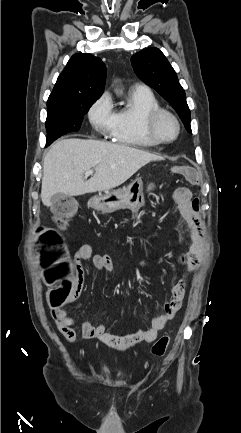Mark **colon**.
I'll list each match as a JSON object with an SVG mask.
<instances>
[{"label": "colon", "mask_w": 241, "mask_h": 433, "mask_svg": "<svg viewBox=\"0 0 241 433\" xmlns=\"http://www.w3.org/2000/svg\"><path fill=\"white\" fill-rule=\"evenodd\" d=\"M172 176L187 177L189 184L199 182L194 168H177L170 171ZM47 215H55L60 220L67 214L80 211L77 200H57L56 205L47 206ZM38 262L43 269V277L49 287L47 299L51 307L61 310L75 292V279L72 278V263L67 256V246L62 236L52 228H44L38 232L36 242ZM170 338L162 336L152 347L151 352L156 357H162L169 345ZM118 348L122 343L114 342Z\"/></svg>", "instance_id": "1"}]
</instances>
